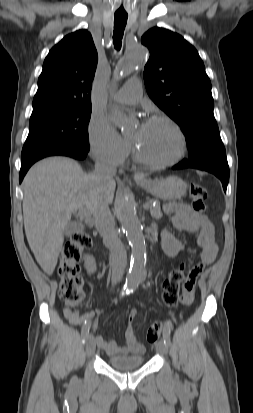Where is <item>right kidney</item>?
Segmentation results:
<instances>
[{"label":"right kidney","mask_w":253,"mask_h":413,"mask_svg":"<svg viewBox=\"0 0 253 413\" xmlns=\"http://www.w3.org/2000/svg\"><path fill=\"white\" fill-rule=\"evenodd\" d=\"M85 268L87 269V272L89 274H92L96 271V262L95 259L90 256V255H86L85 256V264H84Z\"/></svg>","instance_id":"1"}]
</instances>
